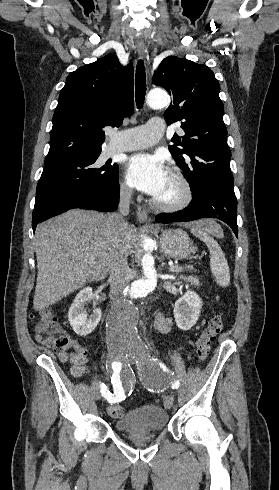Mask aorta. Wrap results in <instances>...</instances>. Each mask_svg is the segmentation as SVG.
<instances>
[{
  "label": "aorta",
  "mask_w": 279,
  "mask_h": 490,
  "mask_svg": "<svg viewBox=\"0 0 279 490\" xmlns=\"http://www.w3.org/2000/svg\"><path fill=\"white\" fill-rule=\"evenodd\" d=\"M147 104L153 109L167 107L170 104L169 95L162 90H152L147 97ZM153 245V240L145 237L143 248L147 251ZM144 277L134 281L128 290L131 299L146 296L157 285V271L154 267V258L145 252L142 258ZM138 313L130 300L121 299L109 309L106 327L107 337L111 343L131 345L139 342L137 333Z\"/></svg>",
  "instance_id": "aorta-1"
}]
</instances>
